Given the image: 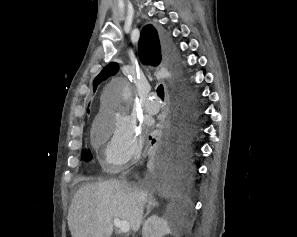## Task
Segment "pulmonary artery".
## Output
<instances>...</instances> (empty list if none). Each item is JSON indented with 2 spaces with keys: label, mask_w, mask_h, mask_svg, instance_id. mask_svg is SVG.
<instances>
[{
  "label": "pulmonary artery",
  "mask_w": 297,
  "mask_h": 237,
  "mask_svg": "<svg viewBox=\"0 0 297 237\" xmlns=\"http://www.w3.org/2000/svg\"><path fill=\"white\" fill-rule=\"evenodd\" d=\"M144 108L149 114H156L159 111L160 104L153 99V96H150L146 99Z\"/></svg>",
  "instance_id": "pulmonary-artery-1"
}]
</instances>
